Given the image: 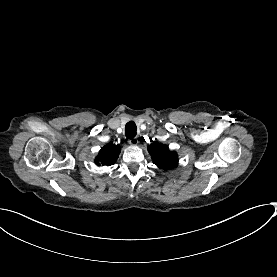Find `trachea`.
Returning a JSON list of instances; mask_svg holds the SVG:
<instances>
[{
  "mask_svg": "<svg viewBox=\"0 0 277 277\" xmlns=\"http://www.w3.org/2000/svg\"><path fill=\"white\" fill-rule=\"evenodd\" d=\"M137 127L135 122L129 121L125 126V136L128 139H132L136 136Z\"/></svg>",
  "mask_w": 277,
  "mask_h": 277,
  "instance_id": "trachea-1",
  "label": "trachea"
}]
</instances>
